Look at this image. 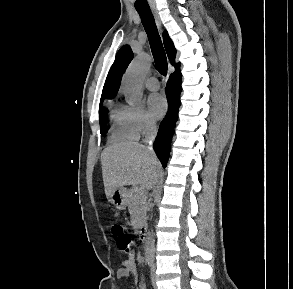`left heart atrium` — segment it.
<instances>
[{
    "label": "left heart atrium",
    "mask_w": 293,
    "mask_h": 289,
    "mask_svg": "<svg viewBox=\"0 0 293 289\" xmlns=\"http://www.w3.org/2000/svg\"><path fill=\"white\" fill-rule=\"evenodd\" d=\"M147 104L151 116L155 119L162 118L167 110L166 101L160 94H151Z\"/></svg>",
    "instance_id": "left-heart-atrium-1"
}]
</instances>
